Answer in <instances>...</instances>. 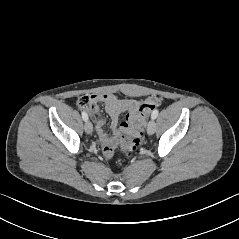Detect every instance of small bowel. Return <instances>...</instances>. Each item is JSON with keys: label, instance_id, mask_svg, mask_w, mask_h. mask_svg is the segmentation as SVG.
Segmentation results:
<instances>
[{"label": "small bowel", "instance_id": "obj_1", "mask_svg": "<svg viewBox=\"0 0 239 239\" xmlns=\"http://www.w3.org/2000/svg\"><path fill=\"white\" fill-rule=\"evenodd\" d=\"M91 107L89 111L96 113L99 110L98 104L104 103L105 110L110 117V126L112 133H107L103 126L105 120L98 118L96 120V132L101 141L103 152L106 157L112 156V148L122 135L123 129L119 127V116L123 112L133 114L138 110L139 103L132 99H122L114 94H93L90 96ZM157 99L152 97L148 99V103L155 104Z\"/></svg>", "mask_w": 239, "mask_h": 239}]
</instances>
